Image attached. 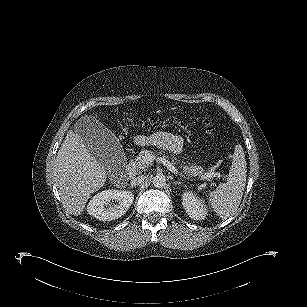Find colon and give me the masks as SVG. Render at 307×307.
<instances>
[{"label": "colon", "mask_w": 307, "mask_h": 307, "mask_svg": "<svg viewBox=\"0 0 307 307\" xmlns=\"http://www.w3.org/2000/svg\"><path fill=\"white\" fill-rule=\"evenodd\" d=\"M202 123L209 134H211L214 131L215 129L214 124L208 117H203Z\"/></svg>", "instance_id": "colon-1"}]
</instances>
